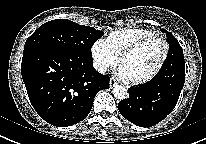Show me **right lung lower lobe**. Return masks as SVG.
Segmentation results:
<instances>
[{"label":"right lung lower lobe","mask_w":206,"mask_h":144,"mask_svg":"<svg viewBox=\"0 0 206 144\" xmlns=\"http://www.w3.org/2000/svg\"><path fill=\"white\" fill-rule=\"evenodd\" d=\"M21 74L36 112L57 127L83 120L110 80L93 68V60L47 48L23 52Z\"/></svg>","instance_id":"obj_1"}]
</instances>
